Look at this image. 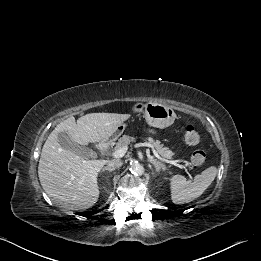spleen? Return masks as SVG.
Listing matches in <instances>:
<instances>
[{
    "mask_svg": "<svg viewBox=\"0 0 261 261\" xmlns=\"http://www.w3.org/2000/svg\"><path fill=\"white\" fill-rule=\"evenodd\" d=\"M217 175V168L212 166L195 176L194 180H186L182 175H174L170 179L171 199L175 204L189 203L211 185Z\"/></svg>",
    "mask_w": 261,
    "mask_h": 261,
    "instance_id": "spleen-1",
    "label": "spleen"
}]
</instances>
